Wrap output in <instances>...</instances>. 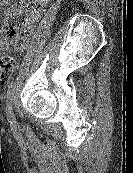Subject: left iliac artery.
Wrapping results in <instances>:
<instances>
[{
  "label": "left iliac artery",
  "mask_w": 133,
  "mask_h": 173,
  "mask_svg": "<svg viewBox=\"0 0 133 173\" xmlns=\"http://www.w3.org/2000/svg\"><path fill=\"white\" fill-rule=\"evenodd\" d=\"M14 90H15V83L11 82L10 85L8 86V91H7V105H6L7 112L12 108Z\"/></svg>",
  "instance_id": "left-iliac-artery-1"
}]
</instances>
